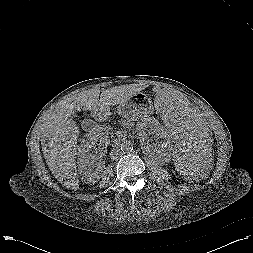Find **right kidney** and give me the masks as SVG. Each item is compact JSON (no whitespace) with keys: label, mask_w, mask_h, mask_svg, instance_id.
Returning a JSON list of instances; mask_svg holds the SVG:
<instances>
[{"label":"right kidney","mask_w":253,"mask_h":253,"mask_svg":"<svg viewBox=\"0 0 253 253\" xmlns=\"http://www.w3.org/2000/svg\"><path fill=\"white\" fill-rule=\"evenodd\" d=\"M108 144V138L99 132H89L81 139L77 148V166L84 183L94 184L101 178V170H93L92 167L102 157Z\"/></svg>","instance_id":"ca27d5eb"}]
</instances>
